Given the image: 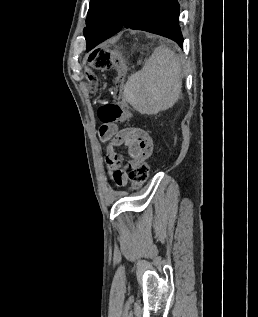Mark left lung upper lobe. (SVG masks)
<instances>
[{"mask_svg":"<svg viewBox=\"0 0 258 317\" xmlns=\"http://www.w3.org/2000/svg\"><path fill=\"white\" fill-rule=\"evenodd\" d=\"M130 1L131 0H91L84 35L100 26L109 28L121 27L126 17L127 7Z\"/></svg>","mask_w":258,"mask_h":317,"instance_id":"5c2ea615","label":"left lung upper lobe"}]
</instances>
